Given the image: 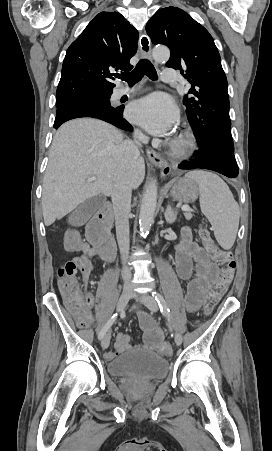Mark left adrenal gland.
Instances as JSON below:
<instances>
[{"label": "left adrenal gland", "mask_w": 272, "mask_h": 451, "mask_svg": "<svg viewBox=\"0 0 272 451\" xmlns=\"http://www.w3.org/2000/svg\"><path fill=\"white\" fill-rule=\"evenodd\" d=\"M177 214H178L177 210H172V208L169 204V206H167V210L164 214L167 224H173V222H175V220H176Z\"/></svg>", "instance_id": "obj_1"}]
</instances>
